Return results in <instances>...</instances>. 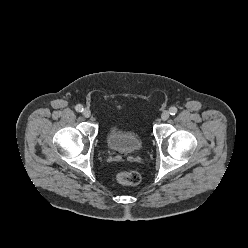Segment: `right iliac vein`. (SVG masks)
I'll return each mask as SVG.
<instances>
[{
  "label": "right iliac vein",
  "mask_w": 248,
  "mask_h": 248,
  "mask_svg": "<svg viewBox=\"0 0 248 248\" xmlns=\"http://www.w3.org/2000/svg\"><path fill=\"white\" fill-rule=\"evenodd\" d=\"M83 116H84L85 118H89V117L91 116V111H90V109H88V108L84 109V111H83Z\"/></svg>",
  "instance_id": "right-iliac-vein-1"
}]
</instances>
